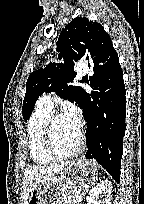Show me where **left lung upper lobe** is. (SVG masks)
<instances>
[{"mask_svg": "<svg viewBox=\"0 0 144 204\" xmlns=\"http://www.w3.org/2000/svg\"><path fill=\"white\" fill-rule=\"evenodd\" d=\"M57 45L56 50L60 52L58 58H63L65 63H49L46 68L34 71L29 76L22 106L24 120L29 118L43 92L54 91L81 107L84 90L69 85L76 78L72 59L85 57L90 62L89 66H98L104 71L111 69L118 61L111 38L103 26L85 17L74 18L60 33Z\"/></svg>", "mask_w": 144, "mask_h": 204, "instance_id": "5c2ea615", "label": "left lung upper lobe"}]
</instances>
